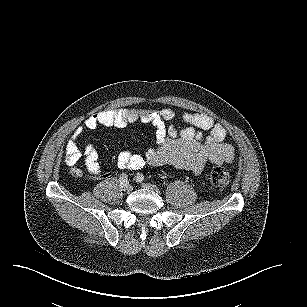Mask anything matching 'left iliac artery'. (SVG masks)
I'll return each instance as SVG.
<instances>
[{
	"instance_id": "1",
	"label": "left iliac artery",
	"mask_w": 307,
	"mask_h": 307,
	"mask_svg": "<svg viewBox=\"0 0 307 307\" xmlns=\"http://www.w3.org/2000/svg\"><path fill=\"white\" fill-rule=\"evenodd\" d=\"M136 180H137V182H143V180H144L143 174H137Z\"/></svg>"
}]
</instances>
